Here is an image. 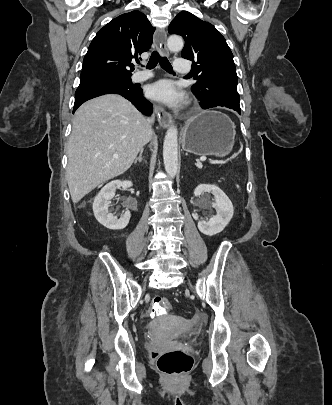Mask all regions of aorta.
<instances>
[{"instance_id":"762f6f07","label":"aorta","mask_w":332,"mask_h":405,"mask_svg":"<svg viewBox=\"0 0 332 405\" xmlns=\"http://www.w3.org/2000/svg\"><path fill=\"white\" fill-rule=\"evenodd\" d=\"M167 46L171 52H179L183 49L184 42L179 36H170ZM163 160L167 175L175 177L178 172V130L176 126L168 128L163 144Z\"/></svg>"}]
</instances>
